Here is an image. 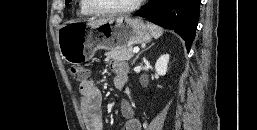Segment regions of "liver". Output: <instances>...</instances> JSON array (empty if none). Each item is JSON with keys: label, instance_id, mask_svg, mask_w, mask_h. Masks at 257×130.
<instances>
[{"label": "liver", "instance_id": "liver-1", "mask_svg": "<svg viewBox=\"0 0 257 130\" xmlns=\"http://www.w3.org/2000/svg\"><path fill=\"white\" fill-rule=\"evenodd\" d=\"M102 21H104V20H97V21H91V23H99V22H102Z\"/></svg>", "mask_w": 257, "mask_h": 130}]
</instances>
